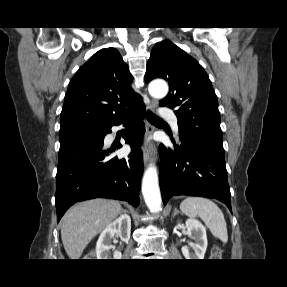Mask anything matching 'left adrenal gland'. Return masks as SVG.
I'll list each match as a JSON object with an SVG mask.
<instances>
[{"mask_svg": "<svg viewBox=\"0 0 287 287\" xmlns=\"http://www.w3.org/2000/svg\"><path fill=\"white\" fill-rule=\"evenodd\" d=\"M178 213H179V210L175 207L172 216L174 217V216H175L176 214H178Z\"/></svg>", "mask_w": 287, "mask_h": 287, "instance_id": "a2214340", "label": "left adrenal gland"}]
</instances>
